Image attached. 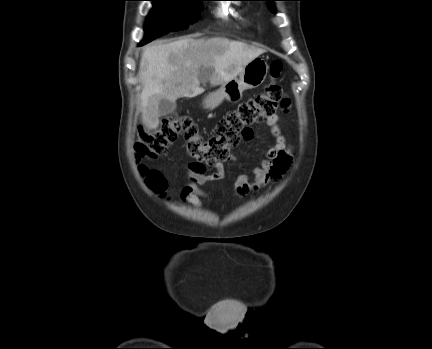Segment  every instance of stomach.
Returning a JSON list of instances; mask_svg holds the SVG:
<instances>
[{"label":"stomach","instance_id":"0dacf381","mask_svg":"<svg viewBox=\"0 0 432 349\" xmlns=\"http://www.w3.org/2000/svg\"><path fill=\"white\" fill-rule=\"evenodd\" d=\"M268 72L269 65L265 59L254 58L237 77L222 84L218 90L209 93L203 99L204 108L212 110L225 99L229 102H239L243 98V92L260 86Z\"/></svg>","mask_w":432,"mask_h":349}]
</instances>
